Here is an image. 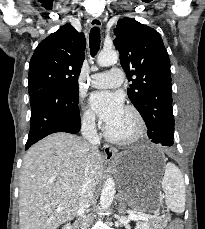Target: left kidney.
Segmentation results:
<instances>
[{"label":"left kidney","instance_id":"obj_1","mask_svg":"<svg viewBox=\"0 0 205 229\" xmlns=\"http://www.w3.org/2000/svg\"><path fill=\"white\" fill-rule=\"evenodd\" d=\"M148 218L149 217L146 215H141L139 220L143 222H138L135 229H153L152 227H150Z\"/></svg>","mask_w":205,"mask_h":229}]
</instances>
